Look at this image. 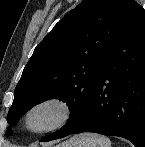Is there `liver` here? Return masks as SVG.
I'll list each match as a JSON object with an SVG mask.
<instances>
[{"mask_svg":"<svg viewBox=\"0 0 145 147\" xmlns=\"http://www.w3.org/2000/svg\"><path fill=\"white\" fill-rule=\"evenodd\" d=\"M71 140H72V139H71ZM71 140L62 143V144H60L59 146H62V147H69L68 145L70 144Z\"/></svg>","mask_w":145,"mask_h":147,"instance_id":"6515ba94","label":"liver"}]
</instances>
